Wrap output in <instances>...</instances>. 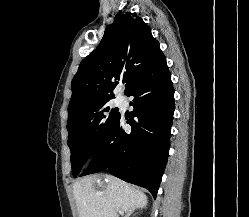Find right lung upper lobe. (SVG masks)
Listing matches in <instances>:
<instances>
[{"label": "right lung upper lobe", "mask_w": 249, "mask_h": 217, "mask_svg": "<svg viewBox=\"0 0 249 217\" xmlns=\"http://www.w3.org/2000/svg\"><path fill=\"white\" fill-rule=\"evenodd\" d=\"M161 53L159 42L142 18L130 12L118 13L97 48L79 65L72 80L69 117L94 103L114 98L117 80L123 79L127 93Z\"/></svg>", "instance_id": "obj_1"}]
</instances>
